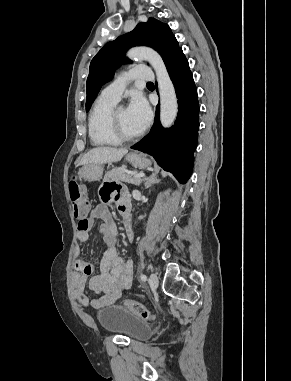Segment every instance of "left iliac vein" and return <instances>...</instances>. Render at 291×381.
Wrapping results in <instances>:
<instances>
[{"label":"left iliac vein","instance_id":"1","mask_svg":"<svg viewBox=\"0 0 291 381\" xmlns=\"http://www.w3.org/2000/svg\"><path fill=\"white\" fill-rule=\"evenodd\" d=\"M158 283H159L158 276L155 273H151L150 274V285H151V287L153 289H157Z\"/></svg>","mask_w":291,"mask_h":381}]
</instances>
